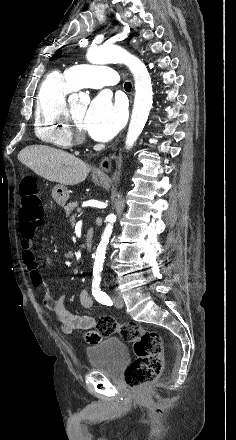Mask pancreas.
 Listing matches in <instances>:
<instances>
[{
    "mask_svg": "<svg viewBox=\"0 0 236 440\" xmlns=\"http://www.w3.org/2000/svg\"><path fill=\"white\" fill-rule=\"evenodd\" d=\"M78 206V203L77 202H71V203H69L67 206H65V214H66V217H69L70 216V214L72 213V211L75 209V207H77ZM72 219H74V216H72Z\"/></svg>",
    "mask_w": 236,
    "mask_h": 440,
    "instance_id": "pancreas-1",
    "label": "pancreas"
}]
</instances>
